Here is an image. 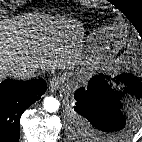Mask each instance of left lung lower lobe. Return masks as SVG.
<instances>
[{"label": "left lung lower lobe", "instance_id": "left-lung-lower-lobe-1", "mask_svg": "<svg viewBox=\"0 0 142 142\" xmlns=\"http://www.w3.org/2000/svg\"><path fill=\"white\" fill-rule=\"evenodd\" d=\"M114 79L111 84L108 77L97 75L87 88H79L74 95L75 113L86 119L105 141H119L125 137L126 118L121 102L124 95L142 98V83L136 76L121 74Z\"/></svg>", "mask_w": 142, "mask_h": 142}]
</instances>
